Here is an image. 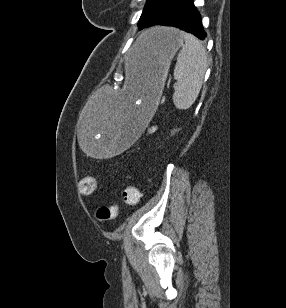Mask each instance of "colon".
Here are the masks:
<instances>
[{"mask_svg":"<svg viewBox=\"0 0 286 308\" xmlns=\"http://www.w3.org/2000/svg\"><path fill=\"white\" fill-rule=\"evenodd\" d=\"M97 188L96 181L91 177L82 178L79 181V190L84 194H91ZM139 190L136 185L131 184L126 186L122 192L123 201L129 205H136L139 201ZM119 208L116 205L103 206L97 210L96 216L101 221H107L115 218L118 215Z\"/></svg>","mask_w":286,"mask_h":308,"instance_id":"colon-1","label":"colon"}]
</instances>
